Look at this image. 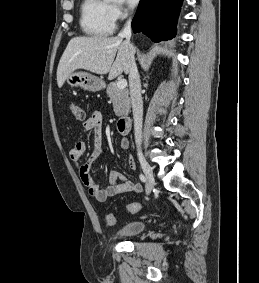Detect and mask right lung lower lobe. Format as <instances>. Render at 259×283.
Listing matches in <instances>:
<instances>
[{
    "mask_svg": "<svg viewBox=\"0 0 259 283\" xmlns=\"http://www.w3.org/2000/svg\"><path fill=\"white\" fill-rule=\"evenodd\" d=\"M182 0H141L132 21L134 33L142 31L154 42L175 36Z\"/></svg>",
    "mask_w": 259,
    "mask_h": 283,
    "instance_id": "1",
    "label": "right lung lower lobe"
}]
</instances>
